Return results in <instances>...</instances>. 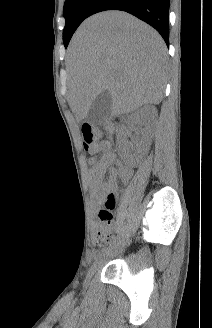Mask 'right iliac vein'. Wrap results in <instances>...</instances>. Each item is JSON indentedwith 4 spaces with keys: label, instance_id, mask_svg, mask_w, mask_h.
Segmentation results:
<instances>
[{
    "label": "right iliac vein",
    "instance_id": "right-iliac-vein-1",
    "mask_svg": "<svg viewBox=\"0 0 212 328\" xmlns=\"http://www.w3.org/2000/svg\"><path fill=\"white\" fill-rule=\"evenodd\" d=\"M123 247H124V243H120L113 250H110L105 254H102L101 256L97 257L87 273L86 282L90 281V279L95 274V272L101 267L105 259H107L110 256H113L118 251H120Z\"/></svg>",
    "mask_w": 212,
    "mask_h": 328
}]
</instances>
